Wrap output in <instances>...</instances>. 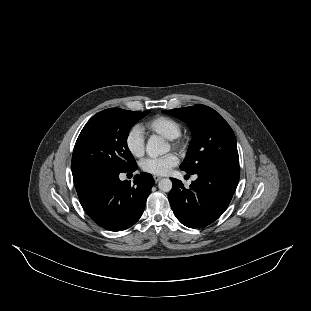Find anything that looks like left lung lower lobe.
<instances>
[{
  "mask_svg": "<svg viewBox=\"0 0 311 311\" xmlns=\"http://www.w3.org/2000/svg\"><path fill=\"white\" fill-rule=\"evenodd\" d=\"M198 178L190 188L171 178L169 201L176 218L189 228H203L219 218L228 207L236 190L239 165H218L193 173Z\"/></svg>",
  "mask_w": 311,
  "mask_h": 311,
  "instance_id": "1",
  "label": "left lung lower lobe"
}]
</instances>
